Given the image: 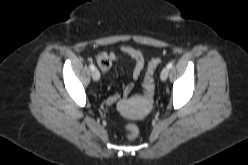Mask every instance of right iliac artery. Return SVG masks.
<instances>
[{
  "label": "right iliac artery",
  "mask_w": 248,
  "mask_h": 165,
  "mask_svg": "<svg viewBox=\"0 0 248 165\" xmlns=\"http://www.w3.org/2000/svg\"><path fill=\"white\" fill-rule=\"evenodd\" d=\"M90 69L93 71V70H95V66L93 65V64H90Z\"/></svg>",
  "instance_id": "obj_1"
}]
</instances>
